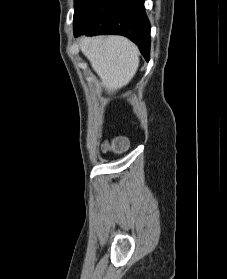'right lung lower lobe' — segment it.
<instances>
[{
	"mask_svg": "<svg viewBox=\"0 0 227 279\" xmlns=\"http://www.w3.org/2000/svg\"><path fill=\"white\" fill-rule=\"evenodd\" d=\"M74 23L75 36H126L149 60L151 26L145 13L144 0H91Z\"/></svg>",
	"mask_w": 227,
	"mask_h": 279,
	"instance_id": "right-lung-lower-lobe-1",
	"label": "right lung lower lobe"
}]
</instances>
